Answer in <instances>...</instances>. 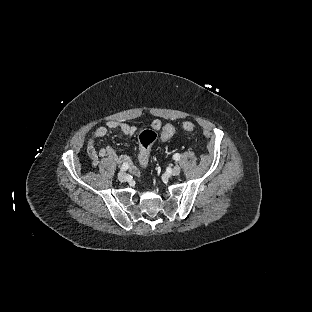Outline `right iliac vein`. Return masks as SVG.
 Listing matches in <instances>:
<instances>
[{"label":"right iliac vein","mask_w":312,"mask_h":312,"mask_svg":"<svg viewBox=\"0 0 312 312\" xmlns=\"http://www.w3.org/2000/svg\"><path fill=\"white\" fill-rule=\"evenodd\" d=\"M118 180L120 181V182H126L127 181V175H126V173L125 172H119V174H118Z\"/></svg>","instance_id":"1"}]
</instances>
